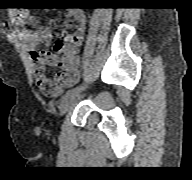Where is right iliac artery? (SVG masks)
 Returning a JSON list of instances; mask_svg holds the SVG:
<instances>
[{
  "label": "right iliac artery",
  "instance_id": "right-iliac-artery-1",
  "mask_svg": "<svg viewBox=\"0 0 192 180\" xmlns=\"http://www.w3.org/2000/svg\"><path fill=\"white\" fill-rule=\"evenodd\" d=\"M82 89H83V86H78V87H75V88L67 91L66 94L62 97L61 101L63 102L66 99L77 95Z\"/></svg>",
  "mask_w": 192,
  "mask_h": 180
}]
</instances>
